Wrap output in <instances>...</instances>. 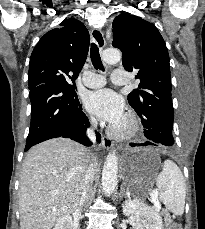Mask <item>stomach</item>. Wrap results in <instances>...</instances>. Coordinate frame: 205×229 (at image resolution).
Listing matches in <instances>:
<instances>
[{
  "mask_svg": "<svg viewBox=\"0 0 205 229\" xmlns=\"http://www.w3.org/2000/svg\"><path fill=\"white\" fill-rule=\"evenodd\" d=\"M159 164V156L151 152L129 155L123 161V176L129 186L134 189H141L154 178Z\"/></svg>",
  "mask_w": 205,
  "mask_h": 229,
  "instance_id": "1",
  "label": "stomach"
}]
</instances>
